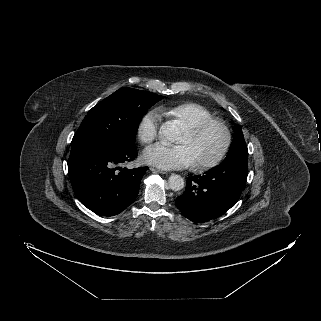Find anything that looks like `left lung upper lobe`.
Segmentation results:
<instances>
[{
	"mask_svg": "<svg viewBox=\"0 0 321 321\" xmlns=\"http://www.w3.org/2000/svg\"><path fill=\"white\" fill-rule=\"evenodd\" d=\"M248 158V149L241 127L235 125V135L225 160L233 158Z\"/></svg>",
	"mask_w": 321,
	"mask_h": 321,
	"instance_id": "1",
	"label": "left lung upper lobe"
}]
</instances>
